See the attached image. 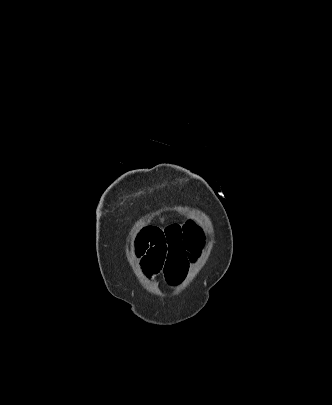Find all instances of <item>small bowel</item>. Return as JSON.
<instances>
[{"label": "small bowel", "instance_id": "c3829d8e", "mask_svg": "<svg viewBox=\"0 0 332 405\" xmlns=\"http://www.w3.org/2000/svg\"><path fill=\"white\" fill-rule=\"evenodd\" d=\"M134 254L144 274L162 275L171 286L184 280L192 262L179 224L144 227L135 239Z\"/></svg>", "mask_w": 332, "mask_h": 405}]
</instances>
